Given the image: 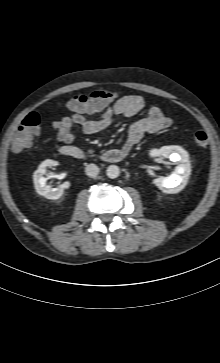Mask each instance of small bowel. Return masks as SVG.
<instances>
[{
	"label": "small bowel",
	"instance_id": "c3829d8e",
	"mask_svg": "<svg viewBox=\"0 0 220 363\" xmlns=\"http://www.w3.org/2000/svg\"><path fill=\"white\" fill-rule=\"evenodd\" d=\"M146 109V101L139 95H126L107 105H100L92 98L86 99L80 109H72L69 116L52 122L57 139L64 144H71L76 137L72 129L80 126L86 134H96L108 128L119 117H134ZM170 117L158 107H150L145 115L137 119L129 128L124 147L137 145L146 134L157 133L169 128Z\"/></svg>",
	"mask_w": 220,
	"mask_h": 363
}]
</instances>
